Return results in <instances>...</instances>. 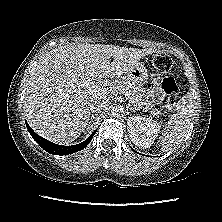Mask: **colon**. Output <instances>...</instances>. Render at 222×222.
<instances>
[{
	"label": "colon",
	"mask_w": 222,
	"mask_h": 222,
	"mask_svg": "<svg viewBox=\"0 0 222 222\" xmlns=\"http://www.w3.org/2000/svg\"><path fill=\"white\" fill-rule=\"evenodd\" d=\"M153 67L161 73H173L176 70V64L172 58L165 53H157L153 57ZM161 89L166 95V106L169 110H173L176 105L178 95V86L173 77L167 76L161 83Z\"/></svg>",
	"instance_id": "obj_1"
}]
</instances>
